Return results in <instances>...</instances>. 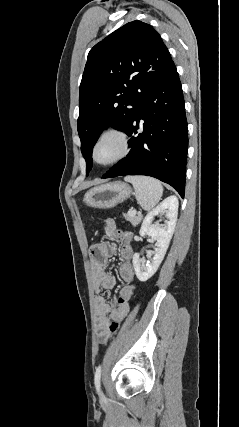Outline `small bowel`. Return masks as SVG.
<instances>
[{"label":"small bowel","instance_id":"1","mask_svg":"<svg viewBox=\"0 0 239 427\" xmlns=\"http://www.w3.org/2000/svg\"><path fill=\"white\" fill-rule=\"evenodd\" d=\"M106 231L109 236L114 237L115 235H124L127 231L115 230L114 224L111 220L106 222ZM132 239V238H131ZM116 253V245L109 242H101L93 245L90 248V261L92 267L94 287L97 291L110 290L116 285L115 276L108 271V261ZM121 256V254H120ZM134 279V276H133ZM126 283V282H125ZM129 297L124 298L123 302H120V298L114 308L108 303V301L102 296H96L95 298V316H96V327L101 343H104L109 334V324L111 321L120 322L124 319L129 311L128 301L136 291V285L133 281L130 284Z\"/></svg>","mask_w":239,"mask_h":427}]
</instances>
